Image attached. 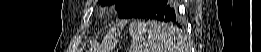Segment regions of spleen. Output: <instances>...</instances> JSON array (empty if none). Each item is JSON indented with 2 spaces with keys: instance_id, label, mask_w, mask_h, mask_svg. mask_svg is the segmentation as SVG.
<instances>
[{
  "instance_id": "spleen-1",
  "label": "spleen",
  "mask_w": 261,
  "mask_h": 52,
  "mask_svg": "<svg viewBox=\"0 0 261 52\" xmlns=\"http://www.w3.org/2000/svg\"><path fill=\"white\" fill-rule=\"evenodd\" d=\"M129 31L135 52H175L180 45V36L171 34V28L162 22L134 21Z\"/></svg>"
}]
</instances>
